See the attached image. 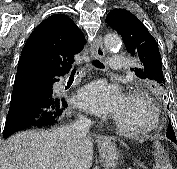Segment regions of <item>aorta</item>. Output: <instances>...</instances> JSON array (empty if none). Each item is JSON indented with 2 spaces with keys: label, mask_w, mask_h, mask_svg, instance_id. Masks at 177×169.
Instances as JSON below:
<instances>
[{
  "label": "aorta",
  "mask_w": 177,
  "mask_h": 169,
  "mask_svg": "<svg viewBox=\"0 0 177 169\" xmlns=\"http://www.w3.org/2000/svg\"><path fill=\"white\" fill-rule=\"evenodd\" d=\"M104 43L107 49L117 48L121 46V39L118 35H107Z\"/></svg>",
  "instance_id": "1"
}]
</instances>
